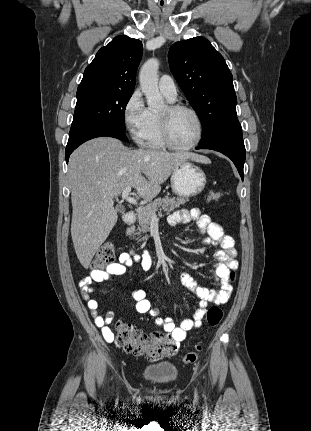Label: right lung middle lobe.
I'll return each instance as SVG.
<instances>
[{"label": "right lung middle lobe", "instance_id": "dd1d6c3e", "mask_svg": "<svg viewBox=\"0 0 311 431\" xmlns=\"http://www.w3.org/2000/svg\"><path fill=\"white\" fill-rule=\"evenodd\" d=\"M132 92L103 89L77 91V103L70 131L90 124H104L125 130V108Z\"/></svg>", "mask_w": 311, "mask_h": 431}]
</instances>
